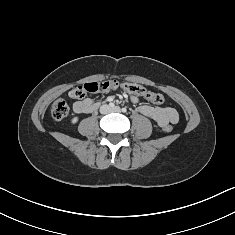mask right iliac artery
<instances>
[{"label":"right iliac artery","instance_id":"82829eb1","mask_svg":"<svg viewBox=\"0 0 235 235\" xmlns=\"http://www.w3.org/2000/svg\"><path fill=\"white\" fill-rule=\"evenodd\" d=\"M109 106H110V107H114L115 105H114V103L110 102V103H109Z\"/></svg>","mask_w":235,"mask_h":235}]
</instances>
